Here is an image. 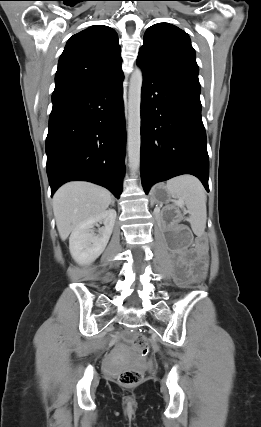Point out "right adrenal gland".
<instances>
[{"instance_id":"1","label":"right adrenal gland","mask_w":261,"mask_h":427,"mask_svg":"<svg viewBox=\"0 0 261 427\" xmlns=\"http://www.w3.org/2000/svg\"><path fill=\"white\" fill-rule=\"evenodd\" d=\"M111 206H115V201L114 200L111 201Z\"/></svg>"}]
</instances>
